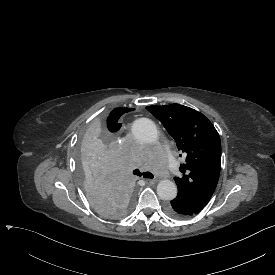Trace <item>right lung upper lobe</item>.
<instances>
[{
  "label": "right lung upper lobe",
  "mask_w": 275,
  "mask_h": 275,
  "mask_svg": "<svg viewBox=\"0 0 275 275\" xmlns=\"http://www.w3.org/2000/svg\"><path fill=\"white\" fill-rule=\"evenodd\" d=\"M131 108H117L114 109L107 120V126L110 132H116L121 128V123L118 122L119 118L126 112L132 111Z\"/></svg>",
  "instance_id": "right-lung-upper-lobe-1"
}]
</instances>
